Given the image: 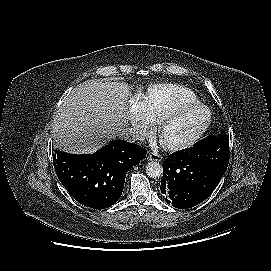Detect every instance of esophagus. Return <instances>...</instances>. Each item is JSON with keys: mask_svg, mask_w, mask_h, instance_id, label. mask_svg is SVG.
Segmentation results:
<instances>
[{"mask_svg": "<svg viewBox=\"0 0 271 271\" xmlns=\"http://www.w3.org/2000/svg\"><path fill=\"white\" fill-rule=\"evenodd\" d=\"M147 159L150 160V161H157V162L162 161V157L159 154L155 153V152L149 153Z\"/></svg>", "mask_w": 271, "mask_h": 271, "instance_id": "1", "label": "esophagus"}]
</instances>
